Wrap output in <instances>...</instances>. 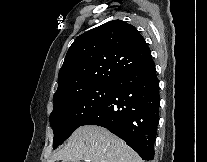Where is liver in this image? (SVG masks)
I'll list each match as a JSON object with an SVG mask.
<instances>
[{
    "instance_id": "1",
    "label": "liver",
    "mask_w": 207,
    "mask_h": 162,
    "mask_svg": "<svg viewBox=\"0 0 207 162\" xmlns=\"http://www.w3.org/2000/svg\"><path fill=\"white\" fill-rule=\"evenodd\" d=\"M143 162L122 139L97 125L79 127L49 162Z\"/></svg>"
}]
</instances>
